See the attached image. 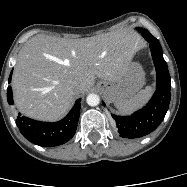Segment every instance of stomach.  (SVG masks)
Listing matches in <instances>:
<instances>
[{"mask_svg": "<svg viewBox=\"0 0 187 187\" xmlns=\"http://www.w3.org/2000/svg\"><path fill=\"white\" fill-rule=\"evenodd\" d=\"M145 83V73L140 64L131 62L123 77L117 81H99L97 88L108 102H122L131 98Z\"/></svg>", "mask_w": 187, "mask_h": 187, "instance_id": "0dacf381", "label": "stomach"}]
</instances>
